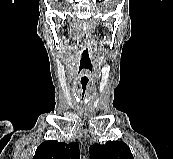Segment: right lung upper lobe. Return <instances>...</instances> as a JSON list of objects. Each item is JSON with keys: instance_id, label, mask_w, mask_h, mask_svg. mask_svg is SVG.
<instances>
[{"instance_id": "right-lung-upper-lobe-1", "label": "right lung upper lobe", "mask_w": 173, "mask_h": 159, "mask_svg": "<svg viewBox=\"0 0 173 159\" xmlns=\"http://www.w3.org/2000/svg\"><path fill=\"white\" fill-rule=\"evenodd\" d=\"M80 153L78 144L61 143L49 140L41 143L37 148L33 159H79Z\"/></svg>"}]
</instances>
